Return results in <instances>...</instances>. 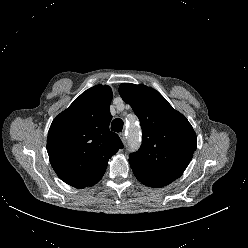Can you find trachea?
<instances>
[{"label": "trachea", "instance_id": "trachea-1", "mask_svg": "<svg viewBox=\"0 0 248 248\" xmlns=\"http://www.w3.org/2000/svg\"><path fill=\"white\" fill-rule=\"evenodd\" d=\"M123 129V121L119 118H116L111 123V130L114 132H121Z\"/></svg>", "mask_w": 248, "mask_h": 248}]
</instances>
